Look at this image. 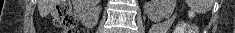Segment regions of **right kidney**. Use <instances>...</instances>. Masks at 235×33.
<instances>
[{"instance_id":"1","label":"right kidney","mask_w":235,"mask_h":33,"mask_svg":"<svg viewBox=\"0 0 235 33\" xmlns=\"http://www.w3.org/2000/svg\"><path fill=\"white\" fill-rule=\"evenodd\" d=\"M89 2L90 0H75L74 7L80 18L94 24L98 21L100 10H95L93 12L88 11L86 5H88Z\"/></svg>"}]
</instances>
